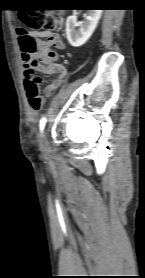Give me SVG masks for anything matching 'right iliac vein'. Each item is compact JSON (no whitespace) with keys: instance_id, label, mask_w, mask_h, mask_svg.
I'll return each mask as SVG.
<instances>
[{"instance_id":"1","label":"right iliac vein","mask_w":145,"mask_h":278,"mask_svg":"<svg viewBox=\"0 0 145 278\" xmlns=\"http://www.w3.org/2000/svg\"><path fill=\"white\" fill-rule=\"evenodd\" d=\"M39 142H40L41 151H43V152L49 151V145L46 142V132L45 131H43V133L40 135Z\"/></svg>"}]
</instances>
